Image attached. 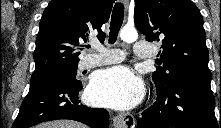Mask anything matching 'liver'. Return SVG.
Segmentation results:
<instances>
[{
  "label": "liver",
  "mask_w": 221,
  "mask_h": 128,
  "mask_svg": "<svg viewBox=\"0 0 221 128\" xmlns=\"http://www.w3.org/2000/svg\"><path fill=\"white\" fill-rule=\"evenodd\" d=\"M36 128H87L85 125L71 121V120H56L51 122L42 123Z\"/></svg>",
  "instance_id": "6515ba94"
}]
</instances>
